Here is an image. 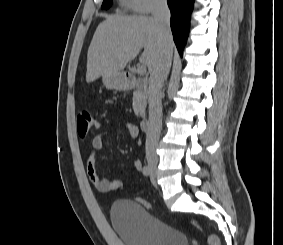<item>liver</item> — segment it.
Here are the masks:
<instances>
[{"label":"liver","instance_id":"liver-1","mask_svg":"<svg viewBox=\"0 0 283 245\" xmlns=\"http://www.w3.org/2000/svg\"><path fill=\"white\" fill-rule=\"evenodd\" d=\"M144 48L140 62L151 73L158 64L163 44L153 17L108 16L97 27L87 53L86 81H95L110 72L122 71ZM174 43H170L173 52Z\"/></svg>","mask_w":283,"mask_h":245}]
</instances>
